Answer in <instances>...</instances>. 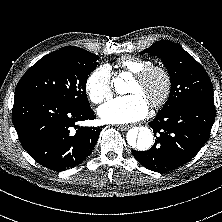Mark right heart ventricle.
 Wrapping results in <instances>:
<instances>
[{
  "mask_svg": "<svg viewBox=\"0 0 222 222\" xmlns=\"http://www.w3.org/2000/svg\"><path fill=\"white\" fill-rule=\"evenodd\" d=\"M119 67L127 73L136 74L139 71L150 67L153 63L147 59L139 57H126L118 62Z\"/></svg>",
  "mask_w": 222,
  "mask_h": 222,
  "instance_id": "right-heart-ventricle-1",
  "label": "right heart ventricle"
}]
</instances>
